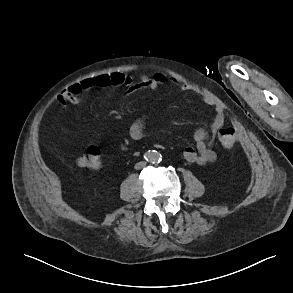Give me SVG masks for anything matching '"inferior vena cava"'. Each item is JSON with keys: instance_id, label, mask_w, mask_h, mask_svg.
<instances>
[{"instance_id": "obj_1", "label": "inferior vena cava", "mask_w": 293, "mask_h": 293, "mask_svg": "<svg viewBox=\"0 0 293 293\" xmlns=\"http://www.w3.org/2000/svg\"><path fill=\"white\" fill-rule=\"evenodd\" d=\"M145 166H146V162L145 161L138 162V163L135 164V169L139 170V169H141V168H143Z\"/></svg>"}]
</instances>
